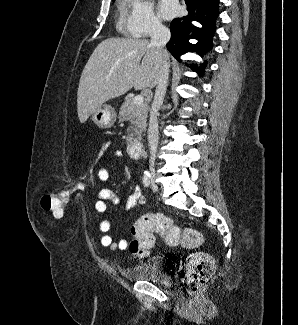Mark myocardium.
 <instances>
[{
	"mask_svg": "<svg viewBox=\"0 0 298 325\" xmlns=\"http://www.w3.org/2000/svg\"><path fill=\"white\" fill-rule=\"evenodd\" d=\"M163 70H164V67H162V68L159 70V72L161 73Z\"/></svg>",
	"mask_w": 298,
	"mask_h": 325,
	"instance_id": "f54148a6",
	"label": "myocardium"
}]
</instances>
